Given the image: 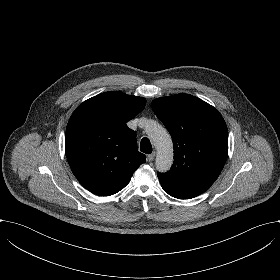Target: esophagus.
<instances>
[{
  "label": "esophagus",
  "instance_id": "esophagus-1",
  "mask_svg": "<svg viewBox=\"0 0 280 280\" xmlns=\"http://www.w3.org/2000/svg\"><path fill=\"white\" fill-rule=\"evenodd\" d=\"M156 156V153L155 152H152L151 154H148L147 155V160L150 162V161H153L154 158Z\"/></svg>",
  "mask_w": 280,
  "mask_h": 280
}]
</instances>
